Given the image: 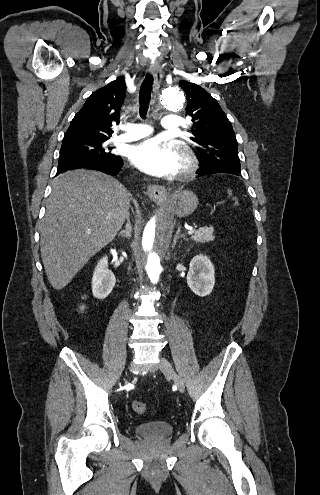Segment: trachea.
I'll list each match as a JSON object with an SVG mask.
<instances>
[{
    "label": "trachea",
    "mask_w": 320,
    "mask_h": 495,
    "mask_svg": "<svg viewBox=\"0 0 320 495\" xmlns=\"http://www.w3.org/2000/svg\"><path fill=\"white\" fill-rule=\"evenodd\" d=\"M152 84H153V76L147 74L141 85L140 93H139L140 116L142 118L146 117L148 111Z\"/></svg>",
    "instance_id": "obj_1"
}]
</instances>
